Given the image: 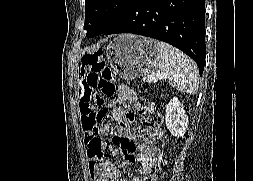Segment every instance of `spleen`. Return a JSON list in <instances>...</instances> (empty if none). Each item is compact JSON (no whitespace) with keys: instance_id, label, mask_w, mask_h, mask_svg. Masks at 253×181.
<instances>
[{"instance_id":"obj_1","label":"spleen","mask_w":253,"mask_h":181,"mask_svg":"<svg viewBox=\"0 0 253 181\" xmlns=\"http://www.w3.org/2000/svg\"><path fill=\"white\" fill-rule=\"evenodd\" d=\"M159 76L167 78L172 87L195 95L199 88V70L193 60L173 46L159 41Z\"/></svg>"}]
</instances>
